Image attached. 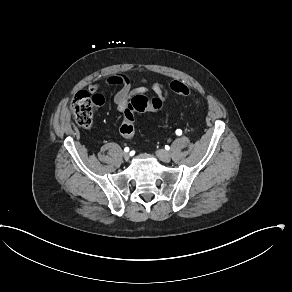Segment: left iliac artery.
I'll return each mask as SVG.
<instances>
[{"label": "left iliac artery", "mask_w": 292, "mask_h": 292, "mask_svg": "<svg viewBox=\"0 0 292 292\" xmlns=\"http://www.w3.org/2000/svg\"><path fill=\"white\" fill-rule=\"evenodd\" d=\"M176 134H177L178 136H180V135L182 134V130L177 129V130H176Z\"/></svg>", "instance_id": "left-iliac-artery-1"}]
</instances>
